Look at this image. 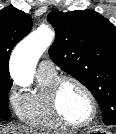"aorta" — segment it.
Listing matches in <instances>:
<instances>
[{"mask_svg": "<svg viewBox=\"0 0 116 134\" xmlns=\"http://www.w3.org/2000/svg\"><path fill=\"white\" fill-rule=\"evenodd\" d=\"M53 38V31L47 26H41L14 48L10 59V74L16 84H32L37 61Z\"/></svg>", "mask_w": 116, "mask_h": 134, "instance_id": "obj_1", "label": "aorta"}]
</instances>
